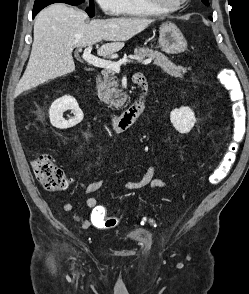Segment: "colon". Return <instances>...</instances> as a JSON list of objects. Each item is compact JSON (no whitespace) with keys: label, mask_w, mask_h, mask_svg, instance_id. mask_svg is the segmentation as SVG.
Listing matches in <instances>:
<instances>
[{"label":"colon","mask_w":249,"mask_h":294,"mask_svg":"<svg viewBox=\"0 0 249 294\" xmlns=\"http://www.w3.org/2000/svg\"><path fill=\"white\" fill-rule=\"evenodd\" d=\"M217 78L228 93V99L232 112V137L235 142L240 141L245 131V108L243 93L239 83L233 78H227L225 71H219ZM237 145H230L229 153L222 159L220 164L209 176V183L216 185L220 183L230 171L235 159ZM32 168L37 180L49 191H60L69 185V179L64 171L57 166L48 154H42L32 162Z\"/></svg>","instance_id":"colon-1"}]
</instances>
